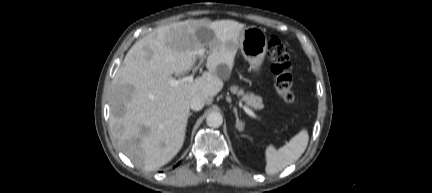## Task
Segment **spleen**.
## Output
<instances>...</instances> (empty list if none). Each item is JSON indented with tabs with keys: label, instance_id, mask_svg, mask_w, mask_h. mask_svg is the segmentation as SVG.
<instances>
[{
	"label": "spleen",
	"instance_id": "3e777b00",
	"mask_svg": "<svg viewBox=\"0 0 432 193\" xmlns=\"http://www.w3.org/2000/svg\"><path fill=\"white\" fill-rule=\"evenodd\" d=\"M308 141V132L306 129H303L278 150L274 146L269 145L265 151L266 173L269 175L276 174L296 162L305 152Z\"/></svg>",
	"mask_w": 432,
	"mask_h": 193
}]
</instances>
